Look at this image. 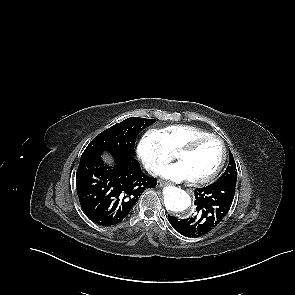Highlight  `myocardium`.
Masks as SVG:
<instances>
[{"label":"myocardium","mask_w":295,"mask_h":295,"mask_svg":"<svg viewBox=\"0 0 295 295\" xmlns=\"http://www.w3.org/2000/svg\"><path fill=\"white\" fill-rule=\"evenodd\" d=\"M207 139H215L220 143L221 157H220L218 165L210 174H208L207 176L201 177V178L192 179V182L195 184L209 183L212 180H214L222 171V169L225 165V162H226V158H227V149H226V145H225L224 140L220 136H218L216 134H212V133L200 135V136H197V137L191 139L189 142H187L185 145H183L180 149H178L175 153L176 158L179 159V157L181 155L192 152L193 150H195L197 148V146L200 143H202L203 141H205Z\"/></svg>","instance_id":"1"}]
</instances>
